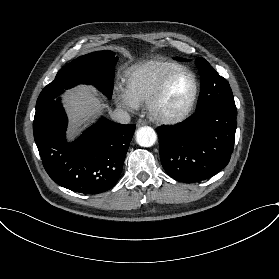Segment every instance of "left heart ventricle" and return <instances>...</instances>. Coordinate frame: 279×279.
Returning a JSON list of instances; mask_svg holds the SVG:
<instances>
[{"label": "left heart ventricle", "instance_id": "b2bd125f", "mask_svg": "<svg viewBox=\"0 0 279 279\" xmlns=\"http://www.w3.org/2000/svg\"><path fill=\"white\" fill-rule=\"evenodd\" d=\"M192 91V77L187 73L181 74L171 83L161 104V110L167 114L179 112L189 100Z\"/></svg>", "mask_w": 279, "mask_h": 279}]
</instances>
